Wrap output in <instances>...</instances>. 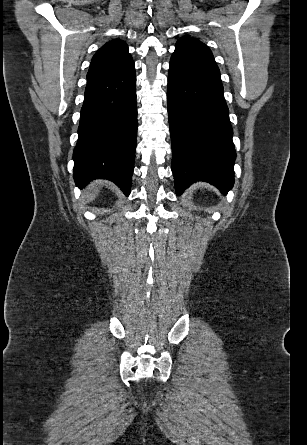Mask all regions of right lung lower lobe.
<instances>
[{
	"label": "right lung lower lobe",
	"instance_id": "1",
	"mask_svg": "<svg viewBox=\"0 0 307 445\" xmlns=\"http://www.w3.org/2000/svg\"><path fill=\"white\" fill-rule=\"evenodd\" d=\"M134 62L104 77L88 80L73 152L74 180L108 179L130 194L137 135Z\"/></svg>",
	"mask_w": 307,
	"mask_h": 445
}]
</instances>
